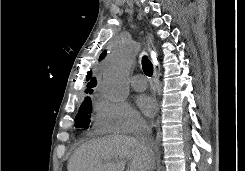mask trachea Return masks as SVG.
Segmentation results:
<instances>
[{"instance_id":"3493384b","label":"trachea","mask_w":245,"mask_h":171,"mask_svg":"<svg viewBox=\"0 0 245 171\" xmlns=\"http://www.w3.org/2000/svg\"><path fill=\"white\" fill-rule=\"evenodd\" d=\"M142 69L147 76H151L153 74V65L146 56L142 58Z\"/></svg>"}]
</instances>
